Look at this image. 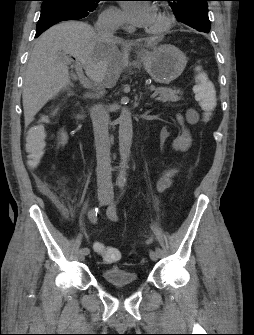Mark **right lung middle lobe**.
Here are the masks:
<instances>
[{"label":"right lung middle lobe","mask_w":254,"mask_h":335,"mask_svg":"<svg viewBox=\"0 0 254 335\" xmlns=\"http://www.w3.org/2000/svg\"><path fill=\"white\" fill-rule=\"evenodd\" d=\"M41 8H45L52 5H63L72 7L81 12H92L96 9L97 3L100 0H41Z\"/></svg>","instance_id":"dd1d6c3e"}]
</instances>
